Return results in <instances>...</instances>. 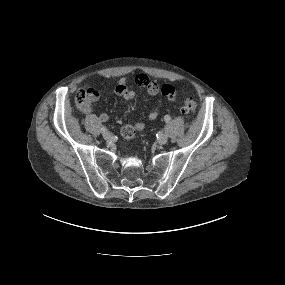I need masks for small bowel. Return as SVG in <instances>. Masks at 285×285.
I'll use <instances>...</instances> for the list:
<instances>
[{
    "label": "small bowel",
    "mask_w": 285,
    "mask_h": 285,
    "mask_svg": "<svg viewBox=\"0 0 285 285\" xmlns=\"http://www.w3.org/2000/svg\"><path fill=\"white\" fill-rule=\"evenodd\" d=\"M136 83L138 86L144 88L149 95L159 97L155 103L154 108L148 114V119L151 121L157 119L159 115V110L162 105L161 98H166L167 100L174 102L178 97V90L174 86H159L155 81L149 79L146 75H138L136 78ZM115 93L128 102L133 101L136 97L135 91L129 87L128 81L125 78H121L118 81L115 87ZM97 98L98 94L96 91H94L93 95L89 98L88 102L83 107L85 113L92 114L94 112ZM108 118V114L105 112L98 114V119L101 122H106ZM134 128L137 131L143 130L145 128V122H136L134 124Z\"/></svg>",
    "instance_id": "obj_1"
}]
</instances>
